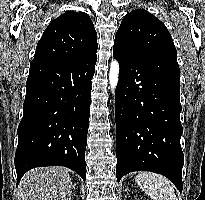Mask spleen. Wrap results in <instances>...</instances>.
I'll list each match as a JSON object with an SVG mask.
<instances>
[{
    "label": "spleen",
    "instance_id": "3e777b00",
    "mask_svg": "<svg viewBox=\"0 0 205 200\" xmlns=\"http://www.w3.org/2000/svg\"><path fill=\"white\" fill-rule=\"evenodd\" d=\"M135 181L153 200H177L171 181L160 174L142 172L136 176Z\"/></svg>",
    "mask_w": 205,
    "mask_h": 200
}]
</instances>
